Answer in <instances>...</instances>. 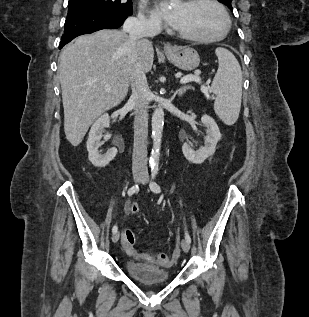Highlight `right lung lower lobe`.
<instances>
[{"label": "right lung lower lobe", "instance_id": "right-lung-lower-lobe-1", "mask_svg": "<svg viewBox=\"0 0 309 317\" xmlns=\"http://www.w3.org/2000/svg\"><path fill=\"white\" fill-rule=\"evenodd\" d=\"M127 17L128 15L109 11L69 9L59 49L77 36L89 34L101 29L118 28Z\"/></svg>", "mask_w": 309, "mask_h": 317}]
</instances>
